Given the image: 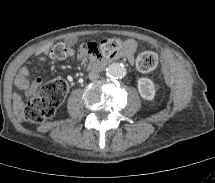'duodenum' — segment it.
Listing matches in <instances>:
<instances>
[{
  "mask_svg": "<svg viewBox=\"0 0 215 183\" xmlns=\"http://www.w3.org/2000/svg\"><path fill=\"white\" fill-rule=\"evenodd\" d=\"M112 63V60H93L91 61L88 66L87 69L92 71V70H98L100 68H103L104 66L108 65Z\"/></svg>",
  "mask_w": 215,
  "mask_h": 183,
  "instance_id": "obj_1",
  "label": "duodenum"
}]
</instances>
